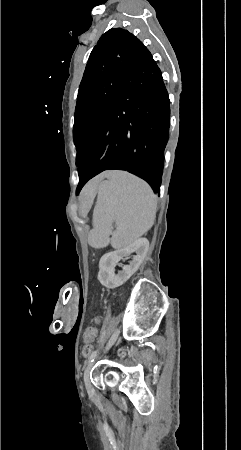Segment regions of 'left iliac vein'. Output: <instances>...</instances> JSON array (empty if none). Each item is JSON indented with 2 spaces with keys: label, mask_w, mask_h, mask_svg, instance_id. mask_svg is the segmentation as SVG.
I'll return each mask as SVG.
<instances>
[{
  "label": "left iliac vein",
  "mask_w": 241,
  "mask_h": 450,
  "mask_svg": "<svg viewBox=\"0 0 241 450\" xmlns=\"http://www.w3.org/2000/svg\"><path fill=\"white\" fill-rule=\"evenodd\" d=\"M119 334H120V329H117L115 331L113 337L111 338L107 349L110 348V346L115 342V340L117 339ZM90 370H91V364L89 367L86 368V370L84 372V383H85V388H86L88 395L90 397H92L94 395V389H93L91 381H90Z\"/></svg>",
  "instance_id": "1"
}]
</instances>
